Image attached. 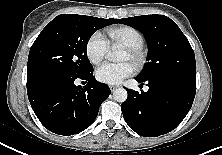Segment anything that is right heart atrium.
<instances>
[{
  "label": "right heart atrium",
  "instance_id": "obj_1",
  "mask_svg": "<svg viewBox=\"0 0 222 155\" xmlns=\"http://www.w3.org/2000/svg\"><path fill=\"white\" fill-rule=\"evenodd\" d=\"M109 42L104 35L96 31L88 39L86 44V54L93 64L100 63L106 56Z\"/></svg>",
  "mask_w": 222,
  "mask_h": 155
}]
</instances>
